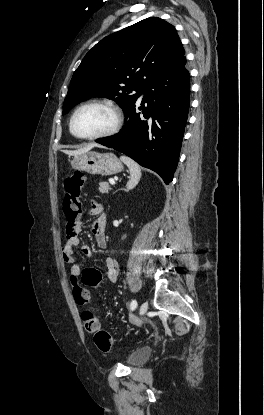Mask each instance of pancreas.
<instances>
[{
  "instance_id": "pancreas-1",
  "label": "pancreas",
  "mask_w": 264,
  "mask_h": 415,
  "mask_svg": "<svg viewBox=\"0 0 264 415\" xmlns=\"http://www.w3.org/2000/svg\"><path fill=\"white\" fill-rule=\"evenodd\" d=\"M111 190V187L107 182H100L99 183V191L102 194H107Z\"/></svg>"
}]
</instances>
